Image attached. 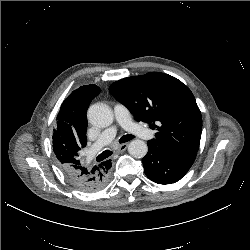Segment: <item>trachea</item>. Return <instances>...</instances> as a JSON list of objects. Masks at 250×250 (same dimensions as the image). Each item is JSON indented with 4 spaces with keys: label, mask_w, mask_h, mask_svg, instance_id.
Returning <instances> with one entry per match:
<instances>
[{
    "label": "trachea",
    "mask_w": 250,
    "mask_h": 250,
    "mask_svg": "<svg viewBox=\"0 0 250 250\" xmlns=\"http://www.w3.org/2000/svg\"><path fill=\"white\" fill-rule=\"evenodd\" d=\"M134 138L133 135H130V134H127V135H124L120 138L119 140V143H125V142H128L130 140H132ZM112 155V151L110 150H105L104 152H102L98 157H97V160L98 161H102L106 158H108L109 156Z\"/></svg>",
    "instance_id": "trachea-1"
}]
</instances>
